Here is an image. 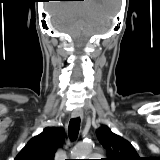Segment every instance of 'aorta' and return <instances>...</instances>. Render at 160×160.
<instances>
[{
    "label": "aorta",
    "mask_w": 160,
    "mask_h": 160,
    "mask_svg": "<svg viewBox=\"0 0 160 160\" xmlns=\"http://www.w3.org/2000/svg\"><path fill=\"white\" fill-rule=\"evenodd\" d=\"M92 149V144L89 142H81L75 146L72 152L74 159H85Z\"/></svg>",
    "instance_id": "762f6f07"
}]
</instances>
